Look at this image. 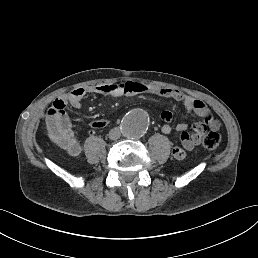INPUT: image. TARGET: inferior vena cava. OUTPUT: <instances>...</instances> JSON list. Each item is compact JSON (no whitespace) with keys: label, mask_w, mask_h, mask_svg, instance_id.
<instances>
[{"label":"inferior vena cava","mask_w":258,"mask_h":258,"mask_svg":"<svg viewBox=\"0 0 258 258\" xmlns=\"http://www.w3.org/2000/svg\"><path fill=\"white\" fill-rule=\"evenodd\" d=\"M109 137L112 140H117L120 137V129L118 127L113 128L110 132H109Z\"/></svg>","instance_id":"1"}]
</instances>
